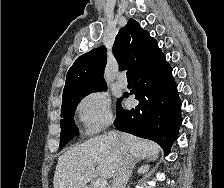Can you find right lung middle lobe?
<instances>
[{
    "label": "right lung middle lobe",
    "mask_w": 224,
    "mask_h": 188,
    "mask_svg": "<svg viewBox=\"0 0 224 188\" xmlns=\"http://www.w3.org/2000/svg\"><path fill=\"white\" fill-rule=\"evenodd\" d=\"M106 86H101L85 91L73 92L63 95L61 106V134L60 148L64 147L72 138L79 134V130L74 123V113L78 103L88 94L106 90Z\"/></svg>",
    "instance_id": "dd1d6c3e"
}]
</instances>
